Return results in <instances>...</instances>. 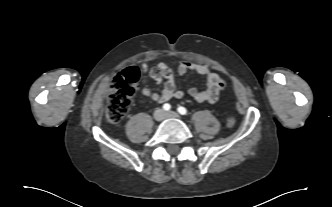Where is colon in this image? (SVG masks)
<instances>
[{
	"mask_svg": "<svg viewBox=\"0 0 332 207\" xmlns=\"http://www.w3.org/2000/svg\"><path fill=\"white\" fill-rule=\"evenodd\" d=\"M139 87V72L135 67H129L119 72L113 79L106 104V119L110 123H118L127 114L132 98ZM235 120L228 117L226 127L233 128Z\"/></svg>",
	"mask_w": 332,
	"mask_h": 207,
	"instance_id": "obj_1",
	"label": "colon"
}]
</instances>
